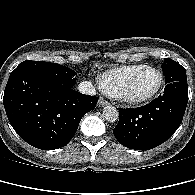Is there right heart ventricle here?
<instances>
[{
  "label": "right heart ventricle",
  "mask_w": 195,
  "mask_h": 195,
  "mask_svg": "<svg viewBox=\"0 0 195 195\" xmlns=\"http://www.w3.org/2000/svg\"><path fill=\"white\" fill-rule=\"evenodd\" d=\"M144 66L142 64L120 66L103 73L100 78L102 89L113 97L118 96L132 74Z\"/></svg>",
  "instance_id": "1"
}]
</instances>
